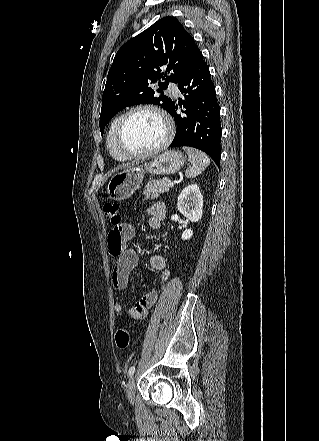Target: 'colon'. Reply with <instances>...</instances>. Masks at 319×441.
Wrapping results in <instances>:
<instances>
[{
	"instance_id": "obj_1",
	"label": "colon",
	"mask_w": 319,
	"mask_h": 441,
	"mask_svg": "<svg viewBox=\"0 0 319 441\" xmlns=\"http://www.w3.org/2000/svg\"><path fill=\"white\" fill-rule=\"evenodd\" d=\"M103 212L106 218L110 221L115 228L121 224L120 205L118 203H106L103 206ZM110 233H114L112 230ZM115 341L119 348L126 349L129 346L130 338L128 331L121 327L115 333Z\"/></svg>"
}]
</instances>
